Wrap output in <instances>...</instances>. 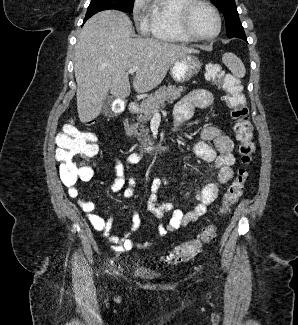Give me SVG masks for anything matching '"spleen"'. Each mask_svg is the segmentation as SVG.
<instances>
[{
	"mask_svg": "<svg viewBox=\"0 0 298 325\" xmlns=\"http://www.w3.org/2000/svg\"><path fill=\"white\" fill-rule=\"evenodd\" d=\"M222 60L225 66H228L229 70H231L233 76H238V78H243V76H245V64L237 54H233V52H224Z\"/></svg>",
	"mask_w": 298,
	"mask_h": 325,
	"instance_id": "3e777b00",
	"label": "spleen"
}]
</instances>
